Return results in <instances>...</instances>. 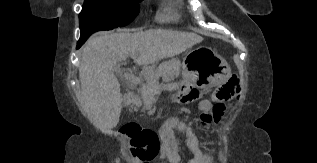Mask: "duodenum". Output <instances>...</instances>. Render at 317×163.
I'll return each instance as SVG.
<instances>
[{
	"mask_svg": "<svg viewBox=\"0 0 317 163\" xmlns=\"http://www.w3.org/2000/svg\"><path fill=\"white\" fill-rule=\"evenodd\" d=\"M135 92L132 91V90H129L125 93V96H124V99H125V102L126 104H130L134 101L135 99Z\"/></svg>",
	"mask_w": 317,
	"mask_h": 163,
	"instance_id": "obj_1",
	"label": "duodenum"
}]
</instances>
